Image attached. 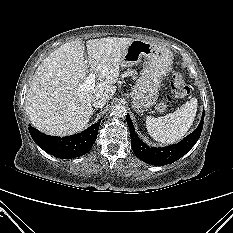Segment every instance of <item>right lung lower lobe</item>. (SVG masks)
I'll list each match as a JSON object with an SVG mask.
<instances>
[{"mask_svg":"<svg viewBox=\"0 0 233 233\" xmlns=\"http://www.w3.org/2000/svg\"><path fill=\"white\" fill-rule=\"evenodd\" d=\"M100 120L79 134L67 137L49 136L39 130L29 127L34 142L45 152L60 158L72 159L89 152L95 143Z\"/></svg>","mask_w":233,"mask_h":233,"instance_id":"1","label":"right lung lower lobe"}]
</instances>
